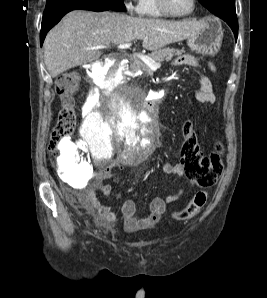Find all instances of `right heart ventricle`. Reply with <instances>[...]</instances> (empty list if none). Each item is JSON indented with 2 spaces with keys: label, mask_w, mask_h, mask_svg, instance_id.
I'll list each match as a JSON object with an SVG mask.
<instances>
[{
  "label": "right heart ventricle",
  "mask_w": 267,
  "mask_h": 298,
  "mask_svg": "<svg viewBox=\"0 0 267 298\" xmlns=\"http://www.w3.org/2000/svg\"><path fill=\"white\" fill-rule=\"evenodd\" d=\"M139 15L144 18H165L156 4V0H140Z\"/></svg>",
  "instance_id": "1"
}]
</instances>
